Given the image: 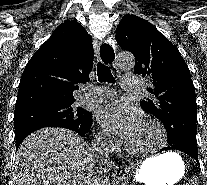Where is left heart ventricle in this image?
Segmentation results:
<instances>
[{"mask_svg": "<svg viewBox=\"0 0 207 185\" xmlns=\"http://www.w3.org/2000/svg\"><path fill=\"white\" fill-rule=\"evenodd\" d=\"M127 140L138 150H150L153 144L163 141L156 127L146 121Z\"/></svg>", "mask_w": 207, "mask_h": 185, "instance_id": "1", "label": "left heart ventricle"}]
</instances>
